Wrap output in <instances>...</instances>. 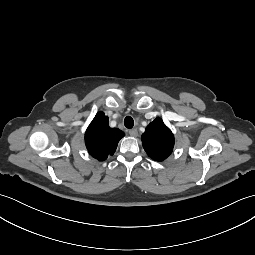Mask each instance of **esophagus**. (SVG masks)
I'll return each instance as SVG.
<instances>
[{
  "label": "esophagus",
  "mask_w": 255,
  "mask_h": 255,
  "mask_svg": "<svg viewBox=\"0 0 255 255\" xmlns=\"http://www.w3.org/2000/svg\"><path fill=\"white\" fill-rule=\"evenodd\" d=\"M129 134L132 137H136L138 135V132L136 129H131V130H129Z\"/></svg>",
  "instance_id": "1"
}]
</instances>
